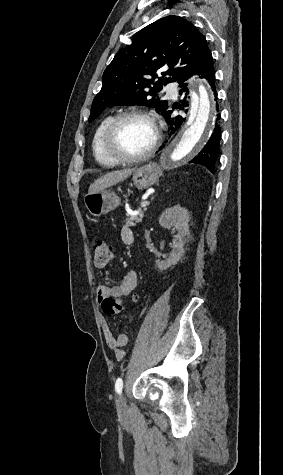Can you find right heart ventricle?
Segmentation results:
<instances>
[{
	"label": "right heart ventricle",
	"instance_id": "right-heart-ventricle-1",
	"mask_svg": "<svg viewBox=\"0 0 283 475\" xmlns=\"http://www.w3.org/2000/svg\"><path fill=\"white\" fill-rule=\"evenodd\" d=\"M114 116L109 115L103 118L97 127L95 128L92 135L91 149L93 156L97 162H106V154L101 149V142L104 135V132L110 122L113 120Z\"/></svg>",
	"mask_w": 283,
	"mask_h": 475
}]
</instances>
